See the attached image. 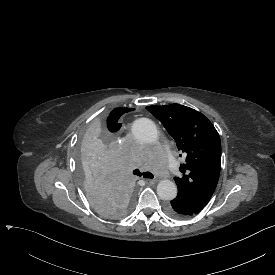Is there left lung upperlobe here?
<instances>
[{"instance_id": "obj_1", "label": "left lung upper lobe", "mask_w": 275, "mask_h": 275, "mask_svg": "<svg viewBox=\"0 0 275 275\" xmlns=\"http://www.w3.org/2000/svg\"><path fill=\"white\" fill-rule=\"evenodd\" d=\"M186 156L180 166L182 177H175L176 198L205 207L211 199L221 169V141L212 123L200 112L180 105L148 106ZM181 156V155H180Z\"/></svg>"}]
</instances>
